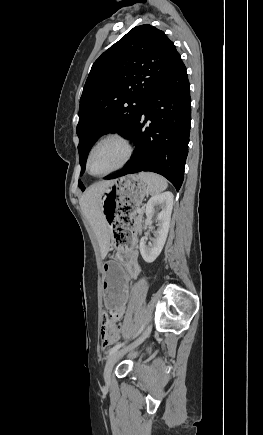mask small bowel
<instances>
[{"instance_id":"1","label":"small bowel","mask_w":263,"mask_h":435,"mask_svg":"<svg viewBox=\"0 0 263 435\" xmlns=\"http://www.w3.org/2000/svg\"><path fill=\"white\" fill-rule=\"evenodd\" d=\"M126 255L129 256L132 262V269H138L140 272L138 251L135 248H130ZM120 256L121 254L117 258H120ZM125 310L126 305H119L118 310H111V320L104 323L103 329L107 334L104 336V341L100 343V348L107 350V353H112V350L116 347L114 342L120 338V329H117V322L122 318Z\"/></svg>"}]
</instances>
